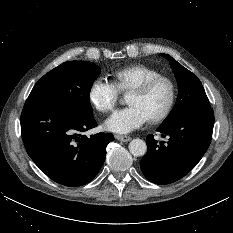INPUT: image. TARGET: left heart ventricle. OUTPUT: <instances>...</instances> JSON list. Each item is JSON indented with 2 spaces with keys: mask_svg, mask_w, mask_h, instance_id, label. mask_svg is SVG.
<instances>
[{
  "mask_svg": "<svg viewBox=\"0 0 233 233\" xmlns=\"http://www.w3.org/2000/svg\"><path fill=\"white\" fill-rule=\"evenodd\" d=\"M170 95L169 86L161 82L145 94L129 93L127 104L139 107L149 118L158 115L166 106Z\"/></svg>",
  "mask_w": 233,
  "mask_h": 233,
  "instance_id": "obj_1",
  "label": "left heart ventricle"
}]
</instances>
